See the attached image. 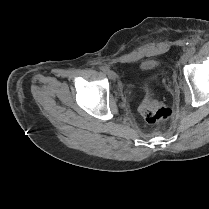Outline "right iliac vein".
<instances>
[{
	"label": "right iliac vein",
	"mask_w": 209,
	"mask_h": 209,
	"mask_svg": "<svg viewBox=\"0 0 209 209\" xmlns=\"http://www.w3.org/2000/svg\"><path fill=\"white\" fill-rule=\"evenodd\" d=\"M106 73H107L108 77H109L111 80H115V79L117 78L116 73L113 72V71H111V70H109V69L106 71Z\"/></svg>",
	"instance_id": "1"
}]
</instances>
